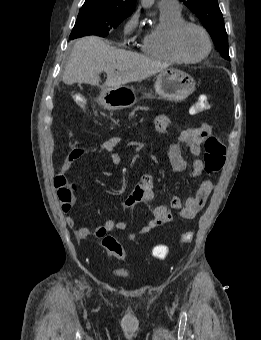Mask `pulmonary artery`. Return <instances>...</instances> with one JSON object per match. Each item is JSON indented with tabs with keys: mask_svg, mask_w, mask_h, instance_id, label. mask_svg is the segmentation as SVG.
I'll list each match as a JSON object with an SVG mask.
<instances>
[{
	"mask_svg": "<svg viewBox=\"0 0 261 340\" xmlns=\"http://www.w3.org/2000/svg\"><path fill=\"white\" fill-rule=\"evenodd\" d=\"M158 6L160 9L181 11V5L178 0H160Z\"/></svg>",
	"mask_w": 261,
	"mask_h": 340,
	"instance_id": "obj_1",
	"label": "pulmonary artery"
}]
</instances>
